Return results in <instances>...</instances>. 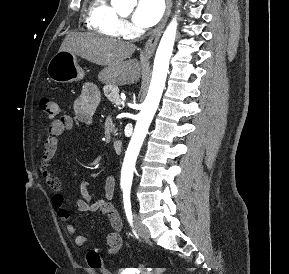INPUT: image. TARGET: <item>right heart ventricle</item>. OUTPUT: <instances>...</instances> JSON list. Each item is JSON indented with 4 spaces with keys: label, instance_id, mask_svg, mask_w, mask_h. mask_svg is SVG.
<instances>
[{
    "label": "right heart ventricle",
    "instance_id": "1",
    "mask_svg": "<svg viewBox=\"0 0 289 274\" xmlns=\"http://www.w3.org/2000/svg\"><path fill=\"white\" fill-rule=\"evenodd\" d=\"M85 24L89 30L107 37L123 34V23L109 0H90L86 6Z\"/></svg>",
    "mask_w": 289,
    "mask_h": 274
}]
</instances>
